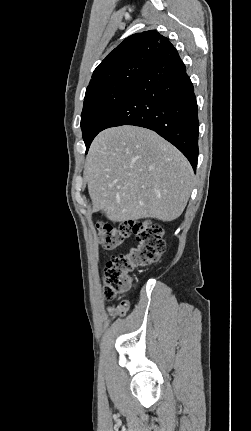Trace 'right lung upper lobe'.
Returning a JSON list of instances; mask_svg holds the SVG:
<instances>
[{
  "label": "right lung upper lobe",
  "instance_id": "right-lung-upper-lobe-1",
  "mask_svg": "<svg viewBox=\"0 0 251 431\" xmlns=\"http://www.w3.org/2000/svg\"><path fill=\"white\" fill-rule=\"evenodd\" d=\"M157 49L163 52H176L168 39L155 30L136 33L120 43L94 70L89 85L111 74L117 69L138 61H149Z\"/></svg>",
  "mask_w": 251,
  "mask_h": 431
}]
</instances>
